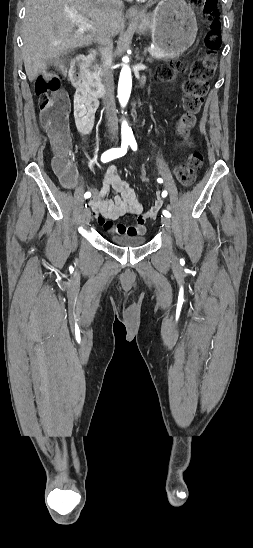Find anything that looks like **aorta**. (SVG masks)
Masks as SVG:
<instances>
[{"instance_id": "obj_1", "label": "aorta", "mask_w": 253, "mask_h": 548, "mask_svg": "<svg viewBox=\"0 0 253 548\" xmlns=\"http://www.w3.org/2000/svg\"><path fill=\"white\" fill-rule=\"evenodd\" d=\"M122 70L120 72L119 83H118V98L122 106H125L129 100L131 88H132V76L129 66L126 64L128 62L127 58H124ZM132 131L127 125L126 122L122 124V138H132Z\"/></svg>"}]
</instances>
